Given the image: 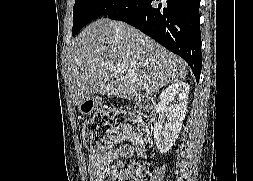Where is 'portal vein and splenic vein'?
<instances>
[{"mask_svg":"<svg viewBox=\"0 0 253 181\" xmlns=\"http://www.w3.org/2000/svg\"><path fill=\"white\" fill-rule=\"evenodd\" d=\"M117 69H118V72H119L120 74H125V73H127V75H129V76H131V77H134V76H135V73H134L133 71H131V70H128L124 65H119V66L117 67Z\"/></svg>","mask_w":253,"mask_h":181,"instance_id":"1","label":"portal vein and splenic vein"}]
</instances>
